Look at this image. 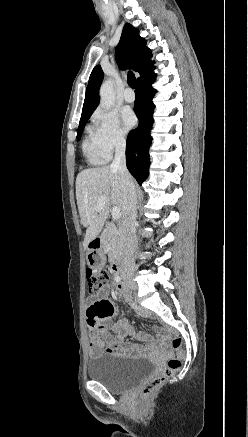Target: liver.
Here are the masks:
<instances>
[{
  "mask_svg": "<svg viewBox=\"0 0 248 437\" xmlns=\"http://www.w3.org/2000/svg\"><path fill=\"white\" fill-rule=\"evenodd\" d=\"M101 196H105L106 201L103 209L96 212L94 207ZM76 199L81 222L87 228L85 248L101 232L111 205L118 207L124 215V192L118 172L108 166L85 169L77 175Z\"/></svg>",
  "mask_w": 248,
  "mask_h": 437,
  "instance_id": "1",
  "label": "liver"
}]
</instances>
